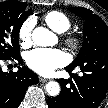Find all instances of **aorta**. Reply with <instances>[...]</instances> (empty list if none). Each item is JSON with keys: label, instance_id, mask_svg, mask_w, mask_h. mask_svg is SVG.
<instances>
[{"label": "aorta", "instance_id": "obj_1", "mask_svg": "<svg viewBox=\"0 0 108 108\" xmlns=\"http://www.w3.org/2000/svg\"><path fill=\"white\" fill-rule=\"evenodd\" d=\"M32 40L38 46H51L56 40V35L44 27H36L32 32ZM46 91L50 96H57L60 92V85L51 81L46 84Z\"/></svg>", "mask_w": 108, "mask_h": 108}]
</instances>
